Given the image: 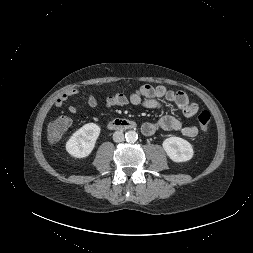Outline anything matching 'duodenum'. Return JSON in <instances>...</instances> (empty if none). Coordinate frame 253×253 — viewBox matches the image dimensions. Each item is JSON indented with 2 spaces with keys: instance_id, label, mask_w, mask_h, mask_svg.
<instances>
[{
  "instance_id": "1",
  "label": "duodenum",
  "mask_w": 253,
  "mask_h": 253,
  "mask_svg": "<svg viewBox=\"0 0 253 253\" xmlns=\"http://www.w3.org/2000/svg\"><path fill=\"white\" fill-rule=\"evenodd\" d=\"M108 128L112 130H132L136 128V123L129 119H113L108 123Z\"/></svg>"
}]
</instances>
